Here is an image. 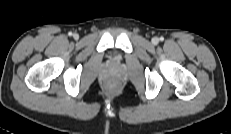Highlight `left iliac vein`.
<instances>
[{
    "label": "left iliac vein",
    "mask_w": 231,
    "mask_h": 134,
    "mask_svg": "<svg viewBox=\"0 0 231 134\" xmlns=\"http://www.w3.org/2000/svg\"><path fill=\"white\" fill-rule=\"evenodd\" d=\"M152 42H153L154 44H156V43L158 42V38H153V39H152Z\"/></svg>",
    "instance_id": "obj_1"
}]
</instances>
